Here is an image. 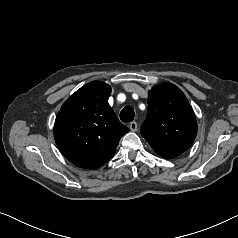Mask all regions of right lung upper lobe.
Listing matches in <instances>:
<instances>
[{
	"label": "right lung upper lobe",
	"mask_w": 238,
	"mask_h": 238,
	"mask_svg": "<svg viewBox=\"0 0 238 238\" xmlns=\"http://www.w3.org/2000/svg\"><path fill=\"white\" fill-rule=\"evenodd\" d=\"M110 93L108 84L90 82L70 96L57 114L56 144L78 167H101L113 157L120 138L129 131L108 104Z\"/></svg>",
	"instance_id": "right-lung-upper-lobe-1"
}]
</instances>
